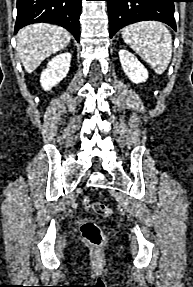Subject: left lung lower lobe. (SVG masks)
<instances>
[{
    "mask_svg": "<svg viewBox=\"0 0 193 287\" xmlns=\"http://www.w3.org/2000/svg\"><path fill=\"white\" fill-rule=\"evenodd\" d=\"M108 2L109 34L122 27L144 20L164 22L176 30L174 2L176 0H105Z\"/></svg>",
    "mask_w": 193,
    "mask_h": 287,
    "instance_id": "obj_1",
    "label": "left lung lower lobe"
}]
</instances>
